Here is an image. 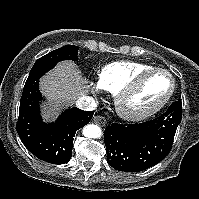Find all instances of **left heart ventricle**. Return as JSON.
Masks as SVG:
<instances>
[{"label":"left heart ventricle","instance_id":"obj_1","mask_svg":"<svg viewBox=\"0 0 199 199\" xmlns=\"http://www.w3.org/2000/svg\"><path fill=\"white\" fill-rule=\"evenodd\" d=\"M171 82L162 73L148 76L138 90L128 99L127 105L132 109H147L156 105L169 92Z\"/></svg>","mask_w":199,"mask_h":199}]
</instances>
